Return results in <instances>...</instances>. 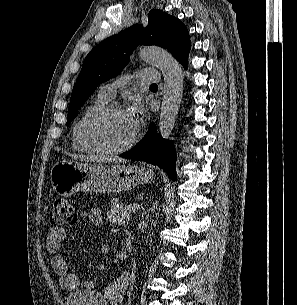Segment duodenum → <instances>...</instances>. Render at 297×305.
<instances>
[{"instance_id":"410a0bca","label":"duodenum","mask_w":297,"mask_h":305,"mask_svg":"<svg viewBox=\"0 0 297 305\" xmlns=\"http://www.w3.org/2000/svg\"><path fill=\"white\" fill-rule=\"evenodd\" d=\"M125 248L128 252H133L134 250V242L131 237H127L125 239Z\"/></svg>"}]
</instances>
